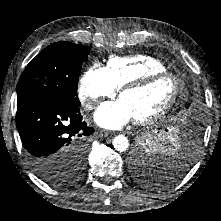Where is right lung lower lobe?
<instances>
[{
  "instance_id": "obj_1",
  "label": "right lung lower lobe",
  "mask_w": 221,
  "mask_h": 221,
  "mask_svg": "<svg viewBox=\"0 0 221 221\" xmlns=\"http://www.w3.org/2000/svg\"><path fill=\"white\" fill-rule=\"evenodd\" d=\"M79 106L57 97H34L17 105L16 126L37 175L53 163L62 167L73 147L94 132Z\"/></svg>"
}]
</instances>
